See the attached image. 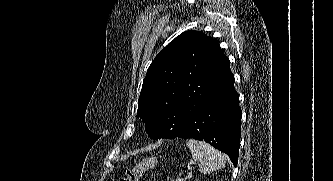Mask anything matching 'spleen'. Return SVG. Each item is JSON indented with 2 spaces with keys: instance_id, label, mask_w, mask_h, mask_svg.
I'll list each match as a JSON object with an SVG mask.
<instances>
[{
  "instance_id": "3e777b00",
  "label": "spleen",
  "mask_w": 333,
  "mask_h": 181,
  "mask_svg": "<svg viewBox=\"0 0 333 181\" xmlns=\"http://www.w3.org/2000/svg\"><path fill=\"white\" fill-rule=\"evenodd\" d=\"M192 158L199 163V171L207 174L225 167L224 155L206 142L187 140Z\"/></svg>"
}]
</instances>
